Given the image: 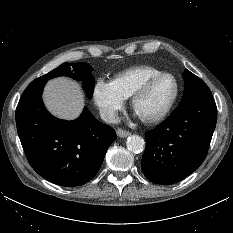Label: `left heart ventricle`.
Wrapping results in <instances>:
<instances>
[{"label": "left heart ventricle", "mask_w": 233, "mask_h": 233, "mask_svg": "<svg viewBox=\"0 0 233 233\" xmlns=\"http://www.w3.org/2000/svg\"><path fill=\"white\" fill-rule=\"evenodd\" d=\"M174 90V81L170 77L158 80L137 102L135 113L140 117H152L159 114L171 100Z\"/></svg>", "instance_id": "b2bd125f"}]
</instances>
